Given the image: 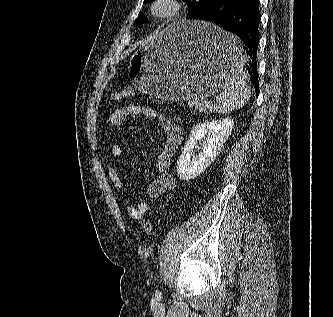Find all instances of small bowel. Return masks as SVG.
<instances>
[{"label": "small bowel", "mask_w": 333, "mask_h": 317, "mask_svg": "<svg viewBox=\"0 0 333 317\" xmlns=\"http://www.w3.org/2000/svg\"><path fill=\"white\" fill-rule=\"evenodd\" d=\"M137 115H143L158 123L165 134L162 150L157 156L154 165L155 176L146 189L148 197L154 199L175 188V180L169 173V167L172 157L181 143L182 131L175 122L165 115L150 107L136 104L118 107L109 115L108 122L111 126H120L129 117ZM111 155L116 159H121L124 155L123 148L119 144L112 145ZM107 173L112 185L120 194L122 204L126 208L129 217L134 220H142L149 212L150 204L147 201L132 204L127 196L118 170L113 166H109Z\"/></svg>", "instance_id": "obj_1"}]
</instances>
